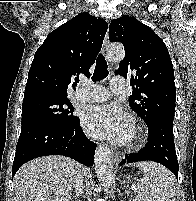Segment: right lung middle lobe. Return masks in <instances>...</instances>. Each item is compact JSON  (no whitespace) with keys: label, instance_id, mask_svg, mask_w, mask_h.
I'll return each mask as SVG.
<instances>
[{"label":"right lung middle lobe","instance_id":"dd1d6c3e","mask_svg":"<svg viewBox=\"0 0 196 201\" xmlns=\"http://www.w3.org/2000/svg\"><path fill=\"white\" fill-rule=\"evenodd\" d=\"M74 109L67 97L37 95L24 98L22 104V124L43 121L69 126L79 118L73 115Z\"/></svg>","mask_w":196,"mask_h":201}]
</instances>
